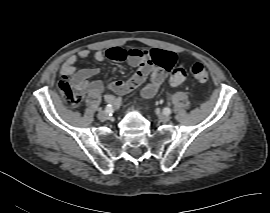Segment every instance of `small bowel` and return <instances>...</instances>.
<instances>
[{
  "label": "small bowel",
  "mask_w": 270,
  "mask_h": 213,
  "mask_svg": "<svg viewBox=\"0 0 270 213\" xmlns=\"http://www.w3.org/2000/svg\"><path fill=\"white\" fill-rule=\"evenodd\" d=\"M116 49L121 48L111 47L107 50L98 49L94 53V58L95 60L100 62L106 59L115 61V59L112 57V54L113 51ZM158 51H165L171 53L176 63V54L166 50ZM88 56V50H81L78 55H72L68 57L61 68V73L63 77L69 82V84L66 82L65 84L81 98L90 96L96 92H99L102 89V85L100 82L89 80V78L96 72L95 69H83L80 71H77L76 69L78 58L86 59ZM146 60V56L140 55L135 57H128L127 63L131 67H140L145 65L150 68V81L143 87L142 95L144 98H152L157 93L160 85L165 79V73L162 69L149 65ZM145 79L146 76H142L138 71L125 81L113 82L112 84H110V88L118 94H124L140 85ZM104 100L106 103L112 104L113 106H117L120 101L118 98L112 95L105 96Z\"/></svg>",
  "instance_id": "c3829d8e"
}]
</instances>
